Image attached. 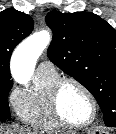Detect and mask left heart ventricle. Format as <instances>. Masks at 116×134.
I'll return each mask as SVG.
<instances>
[{
	"mask_svg": "<svg viewBox=\"0 0 116 134\" xmlns=\"http://www.w3.org/2000/svg\"><path fill=\"white\" fill-rule=\"evenodd\" d=\"M60 107L64 116L75 123L86 122L92 114L89 98L80 88L73 84H67L62 89Z\"/></svg>",
	"mask_w": 116,
	"mask_h": 134,
	"instance_id": "left-heart-ventricle-1",
	"label": "left heart ventricle"
}]
</instances>
